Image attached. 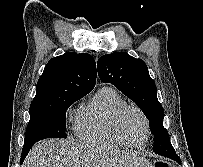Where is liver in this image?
<instances>
[{
    "label": "liver",
    "instance_id": "6515ba94",
    "mask_svg": "<svg viewBox=\"0 0 203 167\" xmlns=\"http://www.w3.org/2000/svg\"><path fill=\"white\" fill-rule=\"evenodd\" d=\"M22 167H151L136 154L107 150L72 139H46L35 144Z\"/></svg>",
    "mask_w": 203,
    "mask_h": 167
}]
</instances>
